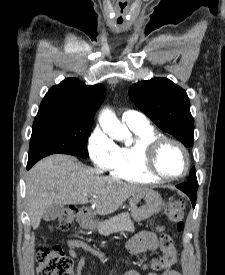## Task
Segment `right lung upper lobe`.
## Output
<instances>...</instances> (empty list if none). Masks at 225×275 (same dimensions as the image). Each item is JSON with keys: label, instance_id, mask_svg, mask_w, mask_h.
<instances>
[{"label": "right lung upper lobe", "instance_id": "right-lung-upper-lobe-1", "mask_svg": "<svg viewBox=\"0 0 225 275\" xmlns=\"http://www.w3.org/2000/svg\"><path fill=\"white\" fill-rule=\"evenodd\" d=\"M104 96L103 85L87 86L76 78H68L47 92L35 119L71 118L93 121Z\"/></svg>", "mask_w": 225, "mask_h": 275}]
</instances>
